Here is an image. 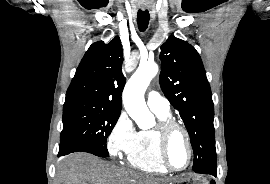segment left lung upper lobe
<instances>
[{"mask_svg":"<svg viewBox=\"0 0 270 184\" xmlns=\"http://www.w3.org/2000/svg\"><path fill=\"white\" fill-rule=\"evenodd\" d=\"M160 49L159 83L189 133L194 152L193 170L200 173L215 169L214 105L201 58L193 46L174 36Z\"/></svg>","mask_w":270,"mask_h":184,"instance_id":"left-lung-upper-lobe-1","label":"left lung upper lobe"}]
</instances>
